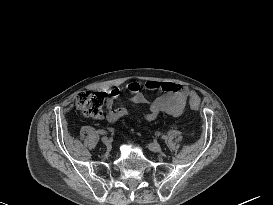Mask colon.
Returning a JSON list of instances; mask_svg holds the SVG:
<instances>
[{
    "instance_id": "colon-1",
    "label": "colon",
    "mask_w": 273,
    "mask_h": 205,
    "mask_svg": "<svg viewBox=\"0 0 273 205\" xmlns=\"http://www.w3.org/2000/svg\"><path fill=\"white\" fill-rule=\"evenodd\" d=\"M106 94L100 91H81L75 96V104L81 114L89 119H97L102 115ZM198 99L191 100V108L198 110Z\"/></svg>"
}]
</instances>
